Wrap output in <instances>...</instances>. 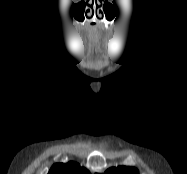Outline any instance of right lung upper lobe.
<instances>
[{
  "label": "right lung upper lobe",
  "mask_w": 187,
  "mask_h": 174,
  "mask_svg": "<svg viewBox=\"0 0 187 174\" xmlns=\"http://www.w3.org/2000/svg\"><path fill=\"white\" fill-rule=\"evenodd\" d=\"M48 174H90L76 162L54 164Z\"/></svg>",
  "instance_id": "cb5924a9"
}]
</instances>
